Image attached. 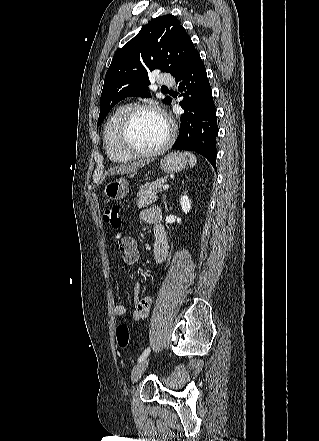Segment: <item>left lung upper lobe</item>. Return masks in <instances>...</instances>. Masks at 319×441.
<instances>
[{
	"instance_id": "1",
	"label": "left lung upper lobe",
	"mask_w": 319,
	"mask_h": 441,
	"mask_svg": "<svg viewBox=\"0 0 319 441\" xmlns=\"http://www.w3.org/2000/svg\"><path fill=\"white\" fill-rule=\"evenodd\" d=\"M197 53L176 17L169 14L152 20L115 53L104 80L97 126L120 100L150 96V72L159 69L176 77ZM163 102L169 105L171 98Z\"/></svg>"
}]
</instances>
